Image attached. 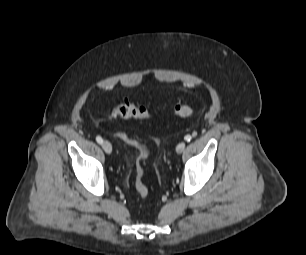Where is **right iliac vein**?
<instances>
[{"label":"right iliac vein","instance_id":"obj_1","mask_svg":"<svg viewBox=\"0 0 306 255\" xmlns=\"http://www.w3.org/2000/svg\"><path fill=\"white\" fill-rule=\"evenodd\" d=\"M102 148L107 154H110L112 152V145L108 141H104L102 143Z\"/></svg>","mask_w":306,"mask_h":255}]
</instances>
